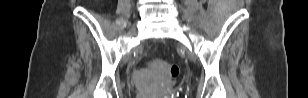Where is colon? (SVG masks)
I'll return each instance as SVG.
<instances>
[{"label":"colon","mask_w":308,"mask_h":98,"mask_svg":"<svg viewBox=\"0 0 308 98\" xmlns=\"http://www.w3.org/2000/svg\"><path fill=\"white\" fill-rule=\"evenodd\" d=\"M148 67L167 76L169 80L175 79L179 74L176 64L166 62L162 59H154L148 63Z\"/></svg>","instance_id":"5ec220e1"}]
</instances>
